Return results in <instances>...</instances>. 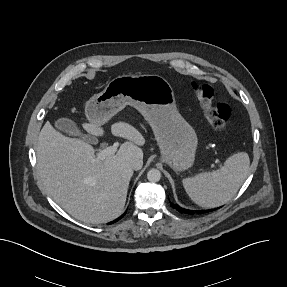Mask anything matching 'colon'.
Segmentation results:
<instances>
[{
  "mask_svg": "<svg viewBox=\"0 0 287 287\" xmlns=\"http://www.w3.org/2000/svg\"><path fill=\"white\" fill-rule=\"evenodd\" d=\"M192 89L211 126L216 130H224L231 114L230 107L227 104L214 103L213 89L208 84L194 81L192 82Z\"/></svg>",
  "mask_w": 287,
  "mask_h": 287,
  "instance_id": "5ec220e1",
  "label": "colon"
}]
</instances>
